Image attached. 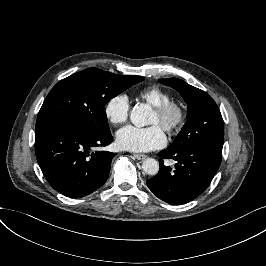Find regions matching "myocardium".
I'll return each mask as SVG.
<instances>
[{
  "label": "myocardium",
  "instance_id": "obj_1",
  "mask_svg": "<svg viewBox=\"0 0 266 266\" xmlns=\"http://www.w3.org/2000/svg\"><path fill=\"white\" fill-rule=\"evenodd\" d=\"M154 112L163 120V128L171 135L178 133L187 119V109L178 100H169L154 107Z\"/></svg>",
  "mask_w": 266,
  "mask_h": 266
}]
</instances>
